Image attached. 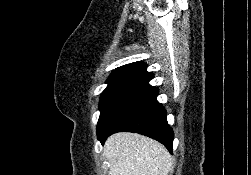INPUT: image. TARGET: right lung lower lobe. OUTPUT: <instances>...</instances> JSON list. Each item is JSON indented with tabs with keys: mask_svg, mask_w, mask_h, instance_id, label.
I'll return each mask as SVG.
<instances>
[{
	"mask_svg": "<svg viewBox=\"0 0 251 175\" xmlns=\"http://www.w3.org/2000/svg\"><path fill=\"white\" fill-rule=\"evenodd\" d=\"M149 81H138L110 105L97 125V137L102 144L115 132L129 131L159 141L172 153L173 130L167 122L166 110L156 99L158 88Z\"/></svg>",
	"mask_w": 251,
	"mask_h": 175,
	"instance_id": "1",
	"label": "right lung lower lobe"
}]
</instances>
